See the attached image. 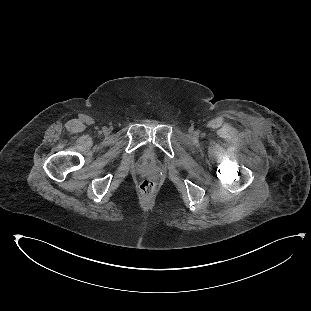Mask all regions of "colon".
Returning <instances> with one entry per match:
<instances>
[{
  "label": "colon",
  "mask_w": 311,
  "mask_h": 311,
  "mask_svg": "<svg viewBox=\"0 0 311 311\" xmlns=\"http://www.w3.org/2000/svg\"><path fill=\"white\" fill-rule=\"evenodd\" d=\"M139 187L143 194L149 195L155 191L156 184L152 180L145 179L139 184Z\"/></svg>",
  "instance_id": "obj_1"
}]
</instances>
